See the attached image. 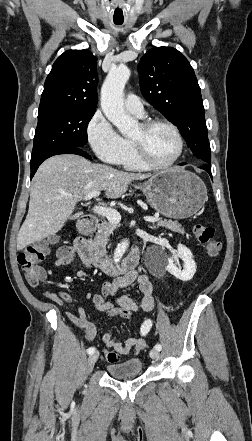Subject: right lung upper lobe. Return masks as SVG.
<instances>
[{
    "label": "right lung upper lobe",
    "mask_w": 252,
    "mask_h": 441,
    "mask_svg": "<svg viewBox=\"0 0 252 441\" xmlns=\"http://www.w3.org/2000/svg\"><path fill=\"white\" fill-rule=\"evenodd\" d=\"M97 82V58L89 50H67L47 76L39 108L95 110Z\"/></svg>",
    "instance_id": "obj_1"
}]
</instances>
